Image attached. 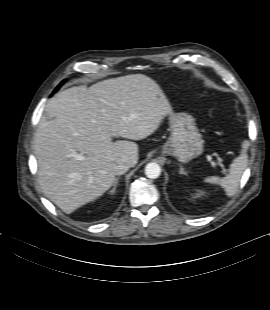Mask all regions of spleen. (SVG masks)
Here are the masks:
<instances>
[{
    "label": "spleen",
    "mask_w": 270,
    "mask_h": 310,
    "mask_svg": "<svg viewBox=\"0 0 270 310\" xmlns=\"http://www.w3.org/2000/svg\"><path fill=\"white\" fill-rule=\"evenodd\" d=\"M247 154L246 150L243 149L239 157L235 158L229 168V173L223 177L211 176L206 177L204 182L211 183V184H219L225 190L227 196H233L238 189L239 182L243 175V172L247 166Z\"/></svg>",
    "instance_id": "3e777b00"
}]
</instances>
